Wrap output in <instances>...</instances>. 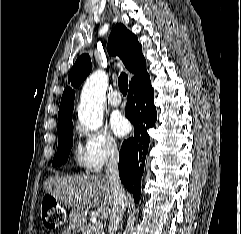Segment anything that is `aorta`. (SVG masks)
Instances as JSON below:
<instances>
[{
  "label": "aorta",
  "instance_id": "aorta-1",
  "mask_svg": "<svg viewBox=\"0 0 241 234\" xmlns=\"http://www.w3.org/2000/svg\"><path fill=\"white\" fill-rule=\"evenodd\" d=\"M108 78L104 71L97 70L85 82L78 118L89 130H97L103 123V105L106 99Z\"/></svg>",
  "mask_w": 241,
  "mask_h": 234
}]
</instances>
